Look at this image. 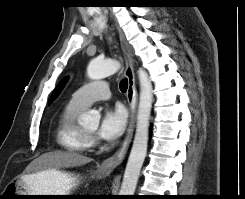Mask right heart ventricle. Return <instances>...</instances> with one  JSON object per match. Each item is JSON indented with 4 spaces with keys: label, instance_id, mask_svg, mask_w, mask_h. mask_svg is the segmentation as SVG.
I'll use <instances>...</instances> for the list:
<instances>
[{
    "label": "right heart ventricle",
    "instance_id": "right-heart-ventricle-1",
    "mask_svg": "<svg viewBox=\"0 0 245 199\" xmlns=\"http://www.w3.org/2000/svg\"><path fill=\"white\" fill-rule=\"evenodd\" d=\"M84 109L68 103L61 112L57 124V140L68 152L80 154L91 147V140L77 123V118Z\"/></svg>",
    "mask_w": 245,
    "mask_h": 199
}]
</instances>
